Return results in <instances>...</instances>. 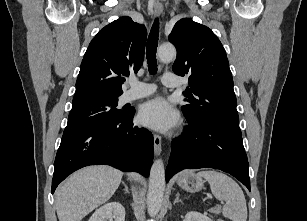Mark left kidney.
<instances>
[{
	"label": "left kidney",
	"instance_id": "5707ae66",
	"mask_svg": "<svg viewBox=\"0 0 307 221\" xmlns=\"http://www.w3.org/2000/svg\"><path fill=\"white\" fill-rule=\"evenodd\" d=\"M183 221H213V220L205 214L191 211L185 215V218Z\"/></svg>",
	"mask_w": 307,
	"mask_h": 221
}]
</instances>
